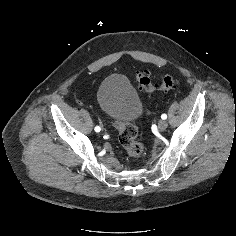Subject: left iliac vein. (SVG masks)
<instances>
[{"label": "left iliac vein", "instance_id": "1", "mask_svg": "<svg viewBox=\"0 0 236 236\" xmlns=\"http://www.w3.org/2000/svg\"><path fill=\"white\" fill-rule=\"evenodd\" d=\"M167 126H168V123H167V121H165V120H160V121L158 122V129H159L160 132L165 131L166 128H167Z\"/></svg>", "mask_w": 236, "mask_h": 236}]
</instances>
